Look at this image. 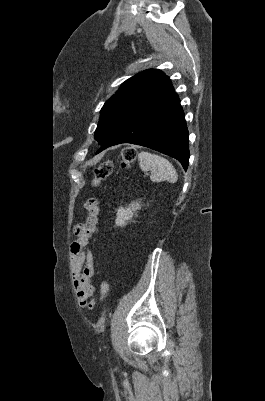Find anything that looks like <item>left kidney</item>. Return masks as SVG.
Segmentation results:
<instances>
[{
    "instance_id": "1",
    "label": "left kidney",
    "mask_w": 265,
    "mask_h": 401,
    "mask_svg": "<svg viewBox=\"0 0 265 401\" xmlns=\"http://www.w3.org/2000/svg\"><path fill=\"white\" fill-rule=\"evenodd\" d=\"M142 198H137V201H134V203H131L127 209H124V207H119L116 215V221L115 225L117 227H124L126 225L127 221H130L133 217V211H139L141 209Z\"/></svg>"
}]
</instances>
